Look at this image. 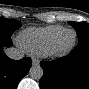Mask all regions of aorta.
<instances>
[{"instance_id":"1","label":"aorta","mask_w":89,"mask_h":89,"mask_svg":"<svg viewBox=\"0 0 89 89\" xmlns=\"http://www.w3.org/2000/svg\"><path fill=\"white\" fill-rule=\"evenodd\" d=\"M29 75L34 80H39L43 76V69L40 65L32 66Z\"/></svg>"}]
</instances>
